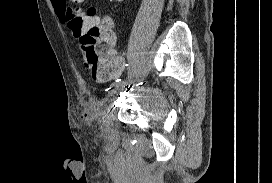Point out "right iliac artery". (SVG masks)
<instances>
[{
    "label": "right iliac artery",
    "mask_w": 272,
    "mask_h": 183,
    "mask_svg": "<svg viewBox=\"0 0 272 183\" xmlns=\"http://www.w3.org/2000/svg\"><path fill=\"white\" fill-rule=\"evenodd\" d=\"M122 84H125V82H122L121 79H116L115 82L111 84V88H117Z\"/></svg>",
    "instance_id": "1"
}]
</instances>
